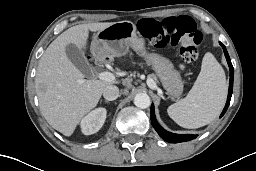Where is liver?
<instances>
[{
    "label": "liver",
    "mask_w": 256,
    "mask_h": 171,
    "mask_svg": "<svg viewBox=\"0 0 256 171\" xmlns=\"http://www.w3.org/2000/svg\"><path fill=\"white\" fill-rule=\"evenodd\" d=\"M113 23H88L73 26L59 35L40 58L35 86L42 115L65 136H71L80 120L99 102L106 86L115 83L85 80L83 73L69 60L65 49L75 44L86 49L89 30L100 31ZM94 40L90 50L94 53ZM119 56L110 50L105 57ZM81 80H84L81 82Z\"/></svg>",
    "instance_id": "1"
}]
</instances>
